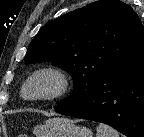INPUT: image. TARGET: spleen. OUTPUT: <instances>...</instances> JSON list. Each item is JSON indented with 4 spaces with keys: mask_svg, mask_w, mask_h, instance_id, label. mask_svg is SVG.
<instances>
[{
    "mask_svg": "<svg viewBox=\"0 0 144 137\" xmlns=\"http://www.w3.org/2000/svg\"><path fill=\"white\" fill-rule=\"evenodd\" d=\"M96 132V137H120L115 129L103 123L97 126Z\"/></svg>",
    "mask_w": 144,
    "mask_h": 137,
    "instance_id": "3e777b00",
    "label": "spleen"
}]
</instances>
